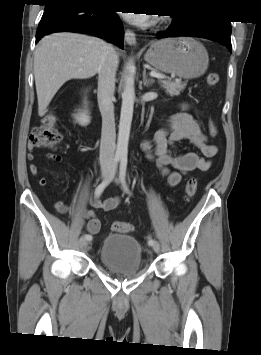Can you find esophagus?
Masks as SVG:
<instances>
[{"mask_svg":"<svg viewBox=\"0 0 261 355\" xmlns=\"http://www.w3.org/2000/svg\"><path fill=\"white\" fill-rule=\"evenodd\" d=\"M125 41L129 45H136V36L135 33L129 29L125 31Z\"/></svg>","mask_w":261,"mask_h":355,"instance_id":"obj_1","label":"esophagus"}]
</instances>
